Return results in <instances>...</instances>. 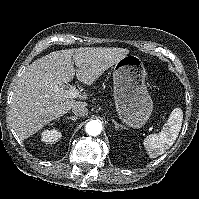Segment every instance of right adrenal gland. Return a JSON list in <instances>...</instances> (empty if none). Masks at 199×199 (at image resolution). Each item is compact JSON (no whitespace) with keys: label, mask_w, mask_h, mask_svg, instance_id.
I'll use <instances>...</instances> for the list:
<instances>
[{"label":"right adrenal gland","mask_w":199,"mask_h":199,"mask_svg":"<svg viewBox=\"0 0 199 199\" xmlns=\"http://www.w3.org/2000/svg\"><path fill=\"white\" fill-rule=\"evenodd\" d=\"M67 119H70L73 122H75L78 119V117H76V116H70V117H67Z\"/></svg>","instance_id":"1"}]
</instances>
